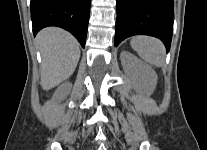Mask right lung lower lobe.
<instances>
[{
  "mask_svg": "<svg viewBox=\"0 0 207 150\" xmlns=\"http://www.w3.org/2000/svg\"><path fill=\"white\" fill-rule=\"evenodd\" d=\"M91 0H31L33 33L58 26L72 33L85 47Z\"/></svg>",
  "mask_w": 207,
  "mask_h": 150,
  "instance_id": "right-lung-lower-lobe-1",
  "label": "right lung lower lobe"
}]
</instances>
